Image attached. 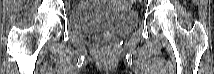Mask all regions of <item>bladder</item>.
Returning a JSON list of instances; mask_svg holds the SVG:
<instances>
[{"label": "bladder", "mask_w": 214, "mask_h": 74, "mask_svg": "<svg viewBox=\"0 0 214 74\" xmlns=\"http://www.w3.org/2000/svg\"><path fill=\"white\" fill-rule=\"evenodd\" d=\"M137 14L112 1L79 2L69 13V26L73 33L87 36L93 28L108 27L118 34L131 30Z\"/></svg>", "instance_id": "bladder-1"}]
</instances>
